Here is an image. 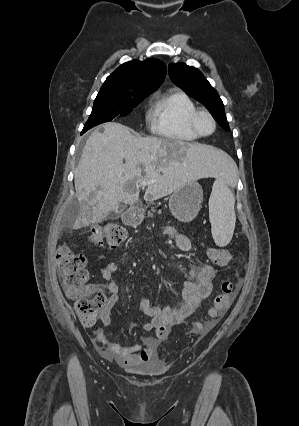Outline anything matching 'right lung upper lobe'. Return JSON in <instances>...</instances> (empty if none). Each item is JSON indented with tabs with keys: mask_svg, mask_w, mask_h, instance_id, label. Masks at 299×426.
Wrapping results in <instances>:
<instances>
[{
	"mask_svg": "<svg viewBox=\"0 0 299 426\" xmlns=\"http://www.w3.org/2000/svg\"><path fill=\"white\" fill-rule=\"evenodd\" d=\"M165 76L166 65L162 61L154 58L133 60L122 64L108 76L101 89L124 96H135L156 90Z\"/></svg>",
	"mask_w": 299,
	"mask_h": 426,
	"instance_id": "1",
	"label": "right lung upper lobe"
}]
</instances>
